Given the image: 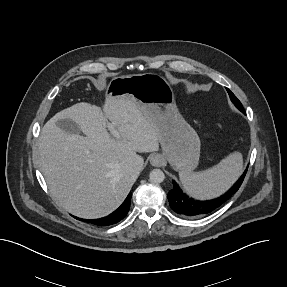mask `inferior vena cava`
<instances>
[{
    "label": "inferior vena cava",
    "mask_w": 287,
    "mask_h": 287,
    "mask_svg": "<svg viewBox=\"0 0 287 287\" xmlns=\"http://www.w3.org/2000/svg\"><path fill=\"white\" fill-rule=\"evenodd\" d=\"M143 164H144L143 158L141 156H137L134 162L132 163V168L135 171L140 172L142 170Z\"/></svg>",
    "instance_id": "inferior-vena-cava-1"
}]
</instances>
